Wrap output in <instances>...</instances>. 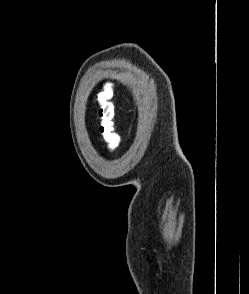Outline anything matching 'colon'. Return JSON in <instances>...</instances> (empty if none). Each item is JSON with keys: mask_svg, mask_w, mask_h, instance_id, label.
I'll return each mask as SVG.
<instances>
[{"mask_svg": "<svg viewBox=\"0 0 249 294\" xmlns=\"http://www.w3.org/2000/svg\"><path fill=\"white\" fill-rule=\"evenodd\" d=\"M112 88L105 85L97 94L98 113L100 118V132L111 148H115L118 136L114 132L115 107L112 102Z\"/></svg>", "mask_w": 249, "mask_h": 294, "instance_id": "1", "label": "colon"}]
</instances>
